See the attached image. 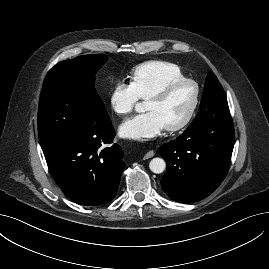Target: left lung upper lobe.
Instances as JSON below:
<instances>
[{"label": "left lung upper lobe", "mask_w": 269, "mask_h": 269, "mask_svg": "<svg viewBox=\"0 0 269 269\" xmlns=\"http://www.w3.org/2000/svg\"><path fill=\"white\" fill-rule=\"evenodd\" d=\"M230 111L225 92L213 72H209L200 108L191 124H201L212 119L229 118Z\"/></svg>", "instance_id": "5c2ea615"}]
</instances>
